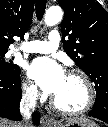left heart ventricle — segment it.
Listing matches in <instances>:
<instances>
[{
  "label": "left heart ventricle",
  "mask_w": 108,
  "mask_h": 127,
  "mask_svg": "<svg viewBox=\"0 0 108 127\" xmlns=\"http://www.w3.org/2000/svg\"><path fill=\"white\" fill-rule=\"evenodd\" d=\"M57 103L66 109H78L86 100V91L81 79L74 75H65L59 90L54 94Z\"/></svg>",
  "instance_id": "b2bd125f"
}]
</instances>
